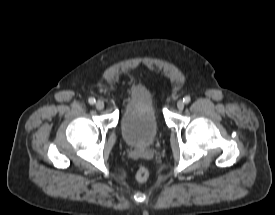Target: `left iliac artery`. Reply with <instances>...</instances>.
<instances>
[{"label": "left iliac artery", "instance_id": "obj_1", "mask_svg": "<svg viewBox=\"0 0 275 215\" xmlns=\"http://www.w3.org/2000/svg\"><path fill=\"white\" fill-rule=\"evenodd\" d=\"M190 100H191V98H190L189 96H185V97L183 98V102H184V103H189Z\"/></svg>", "mask_w": 275, "mask_h": 215}]
</instances>
